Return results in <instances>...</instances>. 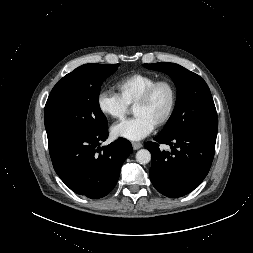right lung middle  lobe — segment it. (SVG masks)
I'll return each mask as SVG.
<instances>
[{
  "instance_id": "dd1d6c3e",
  "label": "right lung middle lobe",
  "mask_w": 253,
  "mask_h": 253,
  "mask_svg": "<svg viewBox=\"0 0 253 253\" xmlns=\"http://www.w3.org/2000/svg\"><path fill=\"white\" fill-rule=\"evenodd\" d=\"M119 65L84 64L54 86L44 111L48 139L69 133L94 132L107 126L98 96L103 81Z\"/></svg>"
}]
</instances>
